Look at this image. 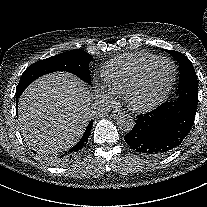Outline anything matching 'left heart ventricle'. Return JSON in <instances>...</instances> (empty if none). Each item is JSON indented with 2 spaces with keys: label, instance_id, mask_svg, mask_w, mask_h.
I'll use <instances>...</instances> for the list:
<instances>
[{
  "label": "left heart ventricle",
  "instance_id": "b2bd125f",
  "mask_svg": "<svg viewBox=\"0 0 207 207\" xmlns=\"http://www.w3.org/2000/svg\"><path fill=\"white\" fill-rule=\"evenodd\" d=\"M174 67L169 62H160L147 74L145 83L132 97V101L141 107L164 98L171 83Z\"/></svg>",
  "mask_w": 207,
  "mask_h": 207
}]
</instances>
